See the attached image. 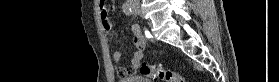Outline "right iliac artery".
<instances>
[{"label": "right iliac artery", "mask_w": 279, "mask_h": 82, "mask_svg": "<svg viewBox=\"0 0 279 82\" xmlns=\"http://www.w3.org/2000/svg\"><path fill=\"white\" fill-rule=\"evenodd\" d=\"M122 9H123V12L126 15H128V16L132 15V8H131V6H130V4L128 2H125L123 4Z\"/></svg>", "instance_id": "obj_1"}]
</instances>
